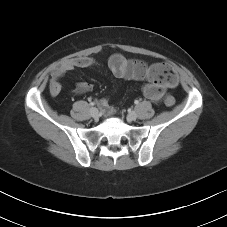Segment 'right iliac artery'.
<instances>
[{"label":"right iliac artery","instance_id":"right-iliac-artery-1","mask_svg":"<svg viewBox=\"0 0 227 227\" xmlns=\"http://www.w3.org/2000/svg\"><path fill=\"white\" fill-rule=\"evenodd\" d=\"M90 105H91V106H94V103H93V102H91V103H90ZM92 108H93V107H92Z\"/></svg>","mask_w":227,"mask_h":227}]
</instances>
